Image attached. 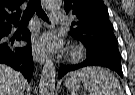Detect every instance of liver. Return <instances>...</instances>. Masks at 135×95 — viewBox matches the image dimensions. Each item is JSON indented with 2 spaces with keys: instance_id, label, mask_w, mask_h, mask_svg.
Wrapping results in <instances>:
<instances>
[{
  "instance_id": "1",
  "label": "liver",
  "mask_w": 135,
  "mask_h": 95,
  "mask_svg": "<svg viewBox=\"0 0 135 95\" xmlns=\"http://www.w3.org/2000/svg\"><path fill=\"white\" fill-rule=\"evenodd\" d=\"M26 84L20 72L0 64V95H23Z\"/></svg>"
}]
</instances>
